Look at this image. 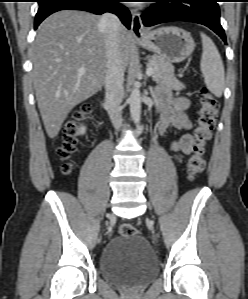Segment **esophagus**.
Listing matches in <instances>:
<instances>
[{"label":"esophagus","mask_w":248,"mask_h":299,"mask_svg":"<svg viewBox=\"0 0 248 299\" xmlns=\"http://www.w3.org/2000/svg\"><path fill=\"white\" fill-rule=\"evenodd\" d=\"M132 20H131V32L136 39L144 38L147 34V30L145 29L141 14L137 10L131 11Z\"/></svg>","instance_id":"obj_1"}]
</instances>
